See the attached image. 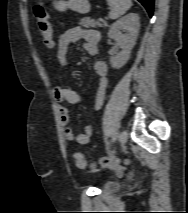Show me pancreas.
Segmentation results:
<instances>
[{"mask_svg":"<svg viewBox=\"0 0 188 213\" xmlns=\"http://www.w3.org/2000/svg\"><path fill=\"white\" fill-rule=\"evenodd\" d=\"M80 25H82L85 28H90V27H96L97 25H99V23L95 21L94 19L86 17L80 20Z\"/></svg>","mask_w":188,"mask_h":213,"instance_id":"cf45deb5","label":"pancreas"}]
</instances>
